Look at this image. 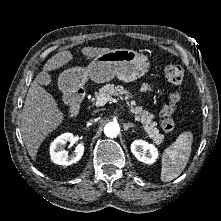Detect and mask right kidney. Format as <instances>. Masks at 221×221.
Masks as SVG:
<instances>
[{
  "mask_svg": "<svg viewBox=\"0 0 221 221\" xmlns=\"http://www.w3.org/2000/svg\"><path fill=\"white\" fill-rule=\"evenodd\" d=\"M74 136L72 133H64L58 136L50 146L51 160L59 165L68 166L79 161L84 153V144L80 143L76 146L74 152L68 155L64 150L67 142L73 141Z\"/></svg>",
  "mask_w": 221,
  "mask_h": 221,
  "instance_id": "obj_1",
  "label": "right kidney"
}]
</instances>
